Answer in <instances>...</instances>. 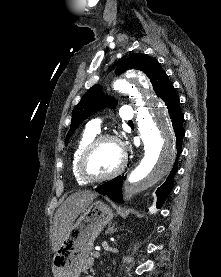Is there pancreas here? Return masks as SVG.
I'll return each mask as SVG.
<instances>
[{"label":"pancreas","instance_id":"1","mask_svg":"<svg viewBox=\"0 0 221 277\" xmlns=\"http://www.w3.org/2000/svg\"><path fill=\"white\" fill-rule=\"evenodd\" d=\"M90 257L87 259L85 265H84V270H89L92 268V266L94 265V256H95V252H91L90 253Z\"/></svg>","mask_w":221,"mask_h":277}]
</instances>
